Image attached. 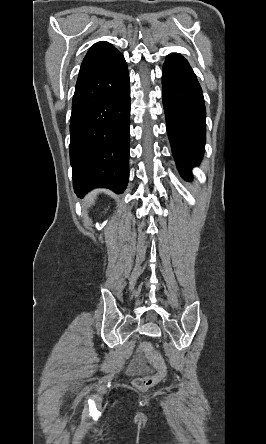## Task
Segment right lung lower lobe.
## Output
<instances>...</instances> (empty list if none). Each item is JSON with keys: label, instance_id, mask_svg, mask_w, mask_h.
<instances>
[{"label": "right lung lower lobe", "instance_id": "1", "mask_svg": "<svg viewBox=\"0 0 266 444\" xmlns=\"http://www.w3.org/2000/svg\"><path fill=\"white\" fill-rule=\"evenodd\" d=\"M70 161L78 197L97 187L122 193L129 179L130 84L121 54L100 75L75 89Z\"/></svg>", "mask_w": 266, "mask_h": 444}]
</instances>
